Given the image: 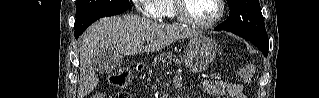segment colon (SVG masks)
Here are the masks:
<instances>
[{"label": "colon", "mask_w": 319, "mask_h": 98, "mask_svg": "<svg viewBox=\"0 0 319 98\" xmlns=\"http://www.w3.org/2000/svg\"><path fill=\"white\" fill-rule=\"evenodd\" d=\"M244 75L245 73L242 72L241 76H244ZM129 79H130L129 70L127 68H122L110 77V83L115 87L124 88L128 84ZM116 97L130 98L129 94L126 92H121ZM93 98H104V96L102 94H95L93 95Z\"/></svg>", "instance_id": "1"}]
</instances>
